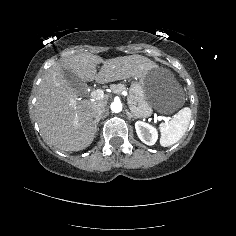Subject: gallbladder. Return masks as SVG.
I'll use <instances>...</instances> for the list:
<instances>
[{"label": "gallbladder", "instance_id": "1", "mask_svg": "<svg viewBox=\"0 0 236 236\" xmlns=\"http://www.w3.org/2000/svg\"><path fill=\"white\" fill-rule=\"evenodd\" d=\"M64 78L70 84L71 87L74 88H82L86 86V83L83 79H81L78 75L72 72V70L63 68Z\"/></svg>", "mask_w": 236, "mask_h": 236}]
</instances>
